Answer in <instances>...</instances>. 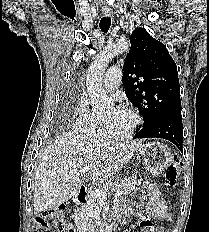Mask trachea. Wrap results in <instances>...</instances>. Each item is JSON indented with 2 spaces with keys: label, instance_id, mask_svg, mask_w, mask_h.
<instances>
[{
  "label": "trachea",
  "instance_id": "3493384b",
  "mask_svg": "<svg viewBox=\"0 0 209 232\" xmlns=\"http://www.w3.org/2000/svg\"><path fill=\"white\" fill-rule=\"evenodd\" d=\"M111 26V18L110 17H102L99 23V27L102 32L107 33Z\"/></svg>",
  "mask_w": 209,
  "mask_h": 232
}]
</instances>
